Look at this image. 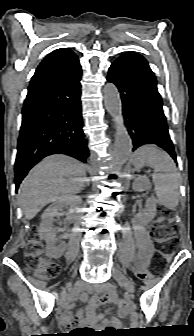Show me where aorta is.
<instances>
[{"label":"aorta","mask_w":194,"mask_h":336,"mask_svg":"<svg viewBox=\"0 0 194 336\" xmlns=\"http://www.w3.org/2000/svg\"><path fill=\"white\" fill-rule=\"evenodd\" d=\"M105 107L115 124L114 160L116 167L123 166L129 159L132 151V140L124 124L122 103L117 87L107 83L103 89Z\"/></svg>","instance_id":"762f6f07"}]
</instances>
